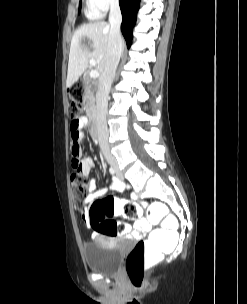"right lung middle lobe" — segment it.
I'll return each instance as SVG.
<instances>
[{"label": "right lung middle lobe", "mask_w": 247, "mask_h": 304, "mask_svg": "<svg viewBox=\"0 0 247 304\" xmlns=\"http://www.w3.org/2000/svg\"><path fill=\"white\" fill-rule=\"evenodd\" d=\"M80 8H81V1H80V7H79V12H80Z\"/></svg>", "instance_id": "right-lung-middle-lobe-1"}]
</instances>
